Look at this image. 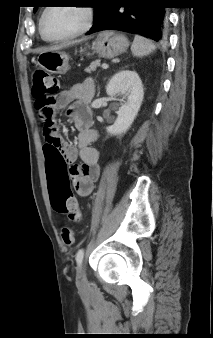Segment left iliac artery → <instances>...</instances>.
I'll list each match as a JSON object with an SVG mask.
<instances>
[{"label":"left iliac artery","mask_w":213,"mask_h":338,"mask_svg":"<svg viewBox=\"0 0 213 338\" xmlns=\"http://www.w3.org/2000/svg\"><path fill=\"white\" fill-rule=\"evenodd\" d=\"M83 257H84V249L78 250L75 259H76V262L79 266L81 265V263L83 261Z\"/></svg>","instance_id":"obj_1"}]
</instances>
